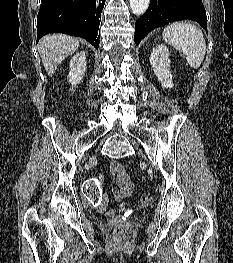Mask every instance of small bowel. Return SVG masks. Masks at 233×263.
<instances>
[{"mask_svg":"<svg viewBox=\"0 0 233 263\" xmlns=\"http://www.w3.org/2000/svg\"><path fill=\"white\" fill-rule=\"evenodd\" d=\"M110 171L113 177L112 194L116 201L122 202L130 197L132 193V183L121 163L117 161L112 162L110 165ZM107 202L108 196L103 193L102 199H100V203L96 209L99 212H105ZM125 209L126 205L120 204L116 210L124 211ZM116 210H109L107 211V214L112 215L116 212Z\"/></svg>","mask_w":233,"mask_h":263,"instance_id":"c3829d8e","label":"small bowel"}]
</instances>
